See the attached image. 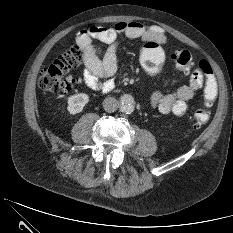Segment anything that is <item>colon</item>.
<instances>
[{
  "label": "colon",
  "instance_id": "colon-1",
  "mask_svg": "<svg viewBox=\"0 0 233 233\" xmlns=\"http://www.w3.org/2000/svg\"><path fill=\"white\" fill-rule=\"evenodd\" d=\"M96 51V49L94 48ZM85 49L80 46L72 47L60 54L49 66L44 68L39 77V87L46 93L62 96L68 93L77 82L68 76L69 72L79 66L84 59ZM172 59L175 65L182 71H189L192 66V56L184 49L176 50ZM165 60L162 45L155 40H147L143 44L140 62L146 73L155 75L160 72ZM197 69L205 77L204 101L210 106L217 95V85L211 65L206 60L199 61ZM191 122L195 127H201L210 119L209 111L197 109L191 116Z\"/></svg>",
  "mask_w": 233,
  "mask_h": 233
}]
</instances>
